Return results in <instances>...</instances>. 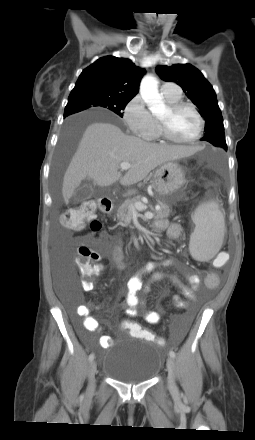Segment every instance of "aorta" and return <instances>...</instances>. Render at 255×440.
I'll list each match as a JSON object with an SVG mask.
<instances>
[{"instance_id":"obj_1","label":"aorta","mask_w":255,"mask_h":440,"mask_svg":"<svg viewBox=\"0 0 255 440\" xmlns=\"http://www.w3.org/2000/svg\"><path fill=\"white\" fill-rule=\"evenodd\" d=\"M140 95L154 115L163 113L166 109L158 91V81L152 75L143 77L140 84Z\"/></svg>"}]
</instances>
